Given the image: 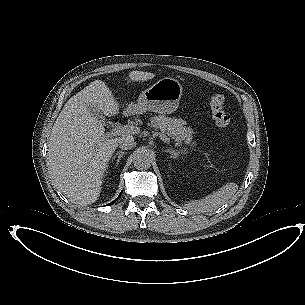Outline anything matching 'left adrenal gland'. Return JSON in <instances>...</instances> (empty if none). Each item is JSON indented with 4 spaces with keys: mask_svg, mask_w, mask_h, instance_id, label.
<instances>
[{
    "mask_svg": "<svg viewBox=\"0 0 305 305\" xmlns=\"http://www.w3.org/2000/svg\"><path fill=\"white\" fill-rule=\"evenodd\" d=\"M166 152H169L171 154V157L176 159L180 156V152L172 150V149H167Z\"/></svg>",
    "mask_w": 305,
    "mask_h": 305,
    "instance_id": "a2214340",
    "label": "left adrenal gland"
}]
</instances>
